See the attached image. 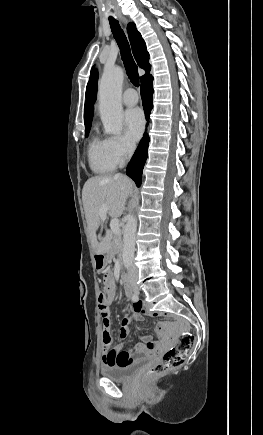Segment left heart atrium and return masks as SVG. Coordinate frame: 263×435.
I'll return each mask as SVG.
<instances>
[{
    "instance_id": "1",
    "label": "left heart atrium",
    "mask_w": 263,
    "mask_h": 435,
    "mask_svg": "<svg viewBox=\"0 0 263 435\" xmlns=\"http://www.w3.org/2000/svg\"><path fill=\"white\" fill-rule=\"evenodd\" d=\"M124 123L128 139L132 142L138 141L145 127L143 112L139 108L127 110L124 116Z\"/></svg>"
}]
</instances>
